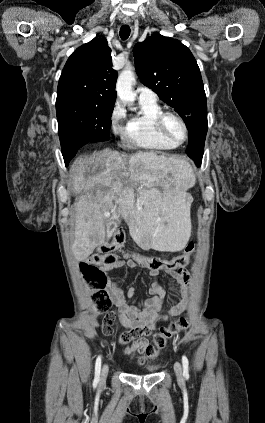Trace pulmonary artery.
I'll return each mask as SVG.
<instances>
[{
	"label": "pulmonary artery",
	"mask_w": 265,
	"mask_h": 423,
	"mask_svg": "<svg viewBox=\"0 0 265 423\" xmlns=\"http://www.w3.org/2000/svg\"><path fill=\"white\" fill-rule=\"evenodd\" d=\"M136 92L139 100L155 101L157 99L155 92L148 87H138Z\"/></svg>",
	"instance_id": "obj_1"
}]
</instances>
